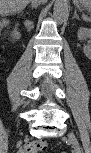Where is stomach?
<instances>
[{
    "instance_id": "obj_1",
    "label": "stomach",
    "mask_w": 91,
    "mask_h": 153,
    "mask_svg": "<svg viewBox=\"0 0 91 153\" xmlns=\"http://www.w3.org/2000/svg\"><path fill=\"white\" fill-rule=\"evenodd\" d=\"M83 5H85L86 7H89L90 4H91V1L90 0H82L81 1Z\"/></svg>"
}]
</instances>
